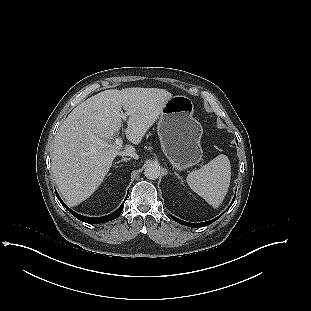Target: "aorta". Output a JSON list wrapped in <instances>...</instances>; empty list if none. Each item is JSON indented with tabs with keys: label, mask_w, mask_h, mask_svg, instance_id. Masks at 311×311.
<instances>
[{
	"label": "aorta",
	"mask_w": 311,
	"mask_h": 311,
	"mask_svg": "<svg viewBox=\"0 0 311 311\" xmlns=\"http://www.w3.org/2000/svg\"><path fill=\"white\" fill-rule=\"evenodd\" d=\"M144 175L149 180H156L160 176V167L157 165H149L145 168Z\"/></svg>",
	"instance_id": "1"
}]
</instances>
